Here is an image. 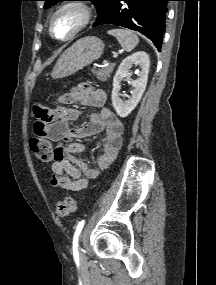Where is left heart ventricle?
Listing matches in <instances>:
<instances>
[{"instance_id":"b2bd125f","label":"left heart ventricle","mask_w":216,"mask_h":285,"mask_svg":"<svg viewBox=\"0 0 216 285\" xmlns=\"http://www.w3.org/2000/svg\"><path fill=\"white\" fill-rule=\"evenodd\" d=\"M80 14L76 10H65L54 20L53 32L57 37H66L80 22Z\"/></svg>"}]
</instances>
